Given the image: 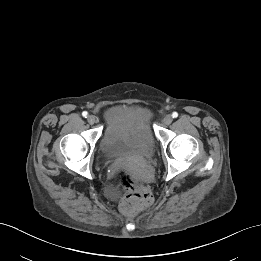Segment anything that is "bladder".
<instances>
[{
    "label": "bladder",
    "instance_id": "31cf9c89",
    "mask_svg": "<svg viewBox=\"0 0 261 261\" xmlns=\"http://www.w3.org/2000/svg\"><path fill=\"white\" fill-rule=\"evenodd\" d=\"M124 116H130L134 121L125 124L122 128L112 129L107 127L103 132L99 149L104 159L118 158H147L154 154L156 140L146 117L136 105L122 106Z\"/></svg>",
    "mask_w": 261,
    "mask_h": 261
}]
</instances>
